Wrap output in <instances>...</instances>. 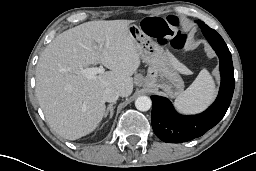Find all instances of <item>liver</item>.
<instances>
[{
	"label": "liver",
	"instance_id": "1",
	"mask_svg": "<svg viewBox=\"0 0 256 171\" xmlns=\"http://www.w3.org/2000/svg\"><path fill=\"white\" fill-rule=\"evenodd\" d=\"M132 20L91 21L68 29L44 49L36 66V96L49 126L76 140L92 133L105 113L103 93L133 91L140 55L128 31ZM102 64L110 71L88 79L78 71ZM176 69L185 67L176 61Z\"/></svg>",
	"mask_w": 256,
	"mask_h": 171
}]
</instances>
